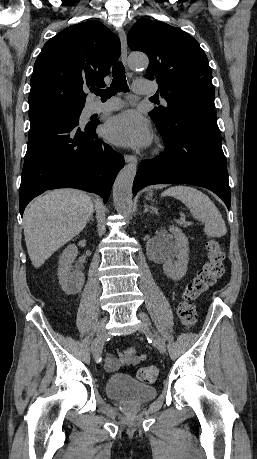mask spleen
I'll use <instances>...</instances> for the list:
<instances>
[{"mask_svg":"<svg viewBox=\"0 0 257 459\" xmlns=\"http://www.w3.org/2000/svg\"><path fill=\"white\" fill-rule=\"evenodd\" d=\"M163 196L175 197L185 204L193 218L204 223L207 236L222 237L227 233L220 211L203 192L190 186H173L165 190Z\"/></svg>","mask_w":257,"mask_h":459,"instance_id":"obj_1","label":"spleen"}]
</instances>
